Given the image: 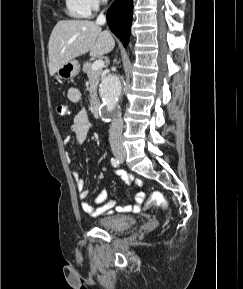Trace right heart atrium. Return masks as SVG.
<instances>
[{
    "label": "right heart atrium",
    "instance_id": "1",
    "mask_svg": "<svg viewBox=\"0 0 243 289\" xmlns=\"http://www.w3.org/2000/svg\"><path fill=\"white\" fill-rule=\"evenodd\" d=\"M86 16L97 12L106 2V0H73Z\"/></svg>",
    "mask_w": 243,
    "mask_h": 289
}]
</instances>
